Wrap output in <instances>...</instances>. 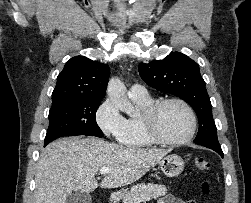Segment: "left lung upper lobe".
Returning a JSON list of instances; mask_svg holds the SVG:
<instances>
[{"label": "left lung upper lobe", "instance_id": "left-lung-upper-lobe-1", "mask_svg": "<svg viewBox=\"0 0 251 203\" xmlns=\"http://www.w3.org/2000/svg\"><path fill=\"white\" fill-rule=\"evenodd\" d=\"M139 74L149 86L180 97L194 109L199 120L194 143L208 148L220 147L212 105L196 62L180 52H173L162 60L140 63Z\"/></svg>", "mask_w": 251, "mask_h": 203}]
</instances>
